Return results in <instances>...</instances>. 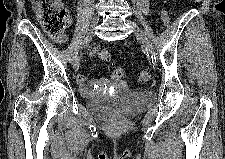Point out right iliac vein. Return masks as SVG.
I'll return each instance as SVG.
<instances>
[{
	"instance_id": "right-iliac-vein-1",
	"label": "right iliac vein",
	"mask_w": 225,
	"mask_h": 159,
	"mask_svg": "<svg viewBox=\"0 0 225 159\" xmlns=\"http://www.w3.org/2000/svg\"><path fill=\"white\" fill-rule=\"evenodd\" d=\"M99 23V17L98 16H94L91 20V24H90V29H89V33L88 35H92L93 34V31L95 29V27L98 25ZM79 65H80V57H76L74 60H73V67L75 69H78L79 68Z\"/></svg>"
}]
</instances>
